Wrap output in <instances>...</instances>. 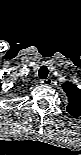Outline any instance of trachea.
Masks as SVG:
<instances>
[{"label":"trachea","mask_w":81,"mask_h":155,"mask_svg":"<svg viewBox=\"0 0 81 155\" xmlns=\"http://www.w3.org/2000/svg\"><path fill=\"white\" fill-rule=\"evenodd\" d=\"M48 74H49V70L46 66H42L39 69V72H38L39 78L45 79L48 76Z\"/></svg>","instance_id":"obj_1"}]
</instances>
